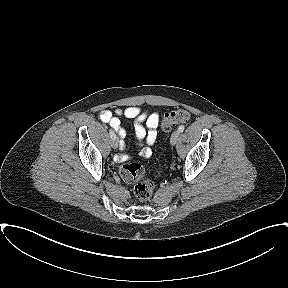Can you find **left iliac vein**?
I'll return each mask as SVG.
<instances>
[{
	"label": "left iliac vein",
	"instance_id": "left-iliac-vein-1",
	"mask_svg": "<svg viewBox=\"0 0 288 288\" xmlns=\"http://www.w3.org/2000/svg\"><path fill=\"white\" fill-rule=\"evenodd\" d=\"M179 135H180V132L177 130V131H174L171 135V138H170V142L172 145H175L179 139Z\"/></svg>",
	"mask_w": 288,
	"mask_h": 288
}]
</instances>
